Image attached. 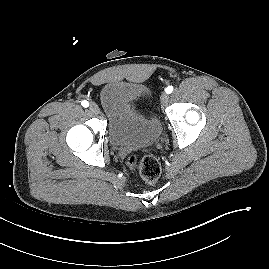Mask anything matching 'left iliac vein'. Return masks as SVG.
<instances>
[{
  "instance_id": "4c4485c4",
  "label": "left iliac vein",
  "mask_w": 269,
  "mask_h": 269,
  "mask_svg": "<svg viewBox=\"0 0 269 269\" xmlns=\"http://www.w3.org/2000/svg\"><path fill=\"white\" fill-rule=\"evenodd\" d=\"M168 101H169V95L167 93H163L161 95V103L163 105H166L168 103Z\"/></svg>"
}]
</instances>
